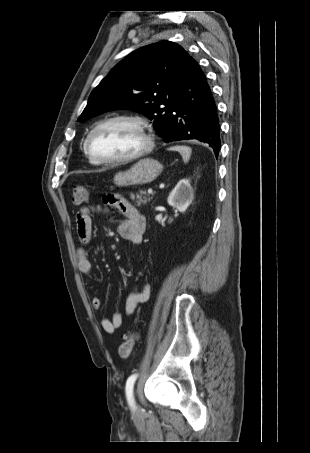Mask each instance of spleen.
<instances>
[{
  "label": "spleen",
  "instance_id": "obj_1",
  "mask_svg": "<svg viewBox=\"0 0 310 453\" xmlns=\"http://www.w3.org/2000/svg\"><path fill=\"white\" fill-rule=\"evenodd\" d=\"M169 150L179 152L183 158L184 163H187L189 161L192 152L191 148L188 146H173L170 147Z\"/></svg>",
  "mask_w": 310,
  "mask_h": 453
}]
</instances>
